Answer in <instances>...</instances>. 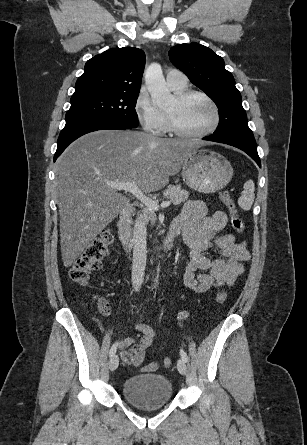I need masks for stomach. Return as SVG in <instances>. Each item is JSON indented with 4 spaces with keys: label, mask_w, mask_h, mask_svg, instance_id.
Here are the masks:
<instances>
[{
    "label": "stomach",
    "mask_w": 307,
    "mask_h": 445,
    "mask_svg": "<svg viewBox=\"0 0 307 445\" xmlns=\"http://www.w3.org/2000/svg\"><path fill=\"white\" fill-rule=\"evenodd\" d=\"M184 182L198 192H218L230 182L233 168L222 154L209 148H195L183 162Z\"/></svg>",
    "instance_id": "1"
}]
</instances>
